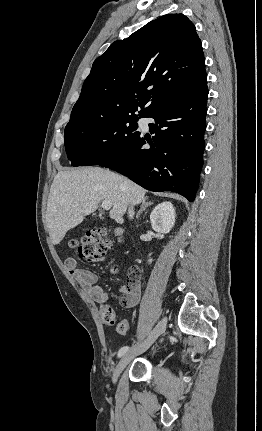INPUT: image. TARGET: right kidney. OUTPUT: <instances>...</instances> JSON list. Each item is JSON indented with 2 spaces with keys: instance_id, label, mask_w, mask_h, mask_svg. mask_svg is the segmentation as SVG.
<instances>
[{
  "instance_id": "1",
  "label": "right kidney",
  "mask_w": 262,
  "mask_h": 431,
  "mask_svg": "<svg viewBox=\"0 0 262 431\" xmlns=\"http://www.w3.org/2000/svg\"><path fill=\"white\" fill-rule=\"evenodd\" d=\"M152 229L158 233H168L175 223V209L171 202L158 204L150 214ZM152 259H149V263Z\"/></svg>"
}]
</instances>
